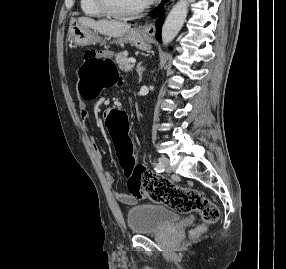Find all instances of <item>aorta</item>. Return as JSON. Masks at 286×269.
Here are the masks:
<instances>
[{"mask_svg": "<svg viewBox=\"0 0 286 269\" xmlns=\"http://www.w3.org/2000/svg\"><path fill=\"white\" fill-rule=\"evenodd\" d=\"M188 13V0H179L169 12L162 27V42L169 44L179 33Z\"/></svg>", "mask_w": 286, "mask_h": 269, "instance_id": "1", "label": "aorta"}]
</instances>
